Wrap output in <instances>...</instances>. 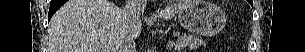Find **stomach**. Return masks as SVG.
I'll return each instance as SVG.
<instances>
[{"instance_id":"1","label":"stomach","mask_w":305,"mask_h":52,"mask_svg":"<svg viewBox=\"0 0 305 52\" xmlns=\"http://www.w3.org/2000/svg\"><path fill=\"white\" fill-rule=\"evenodd\" d=\"M180 24L192 33L211 36L226 24V15L216 4L206 0H193L178 12Z\"/></svg>"}]
</instances>
